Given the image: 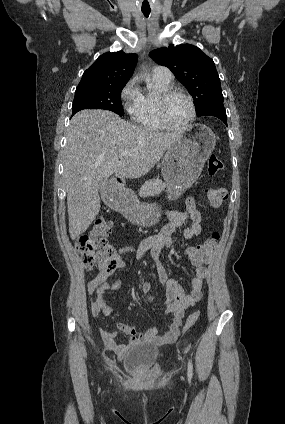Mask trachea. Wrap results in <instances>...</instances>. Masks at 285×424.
Here are the masks:
<instances>
[{
	"mask_svg": "<svg viewBox=\"0 0 285 424\" xmlns=\"http://www.w3.org/2000/svg\"><path fill=\"white\" fill-rule=\"evenodd\" d=\"M145 17H148L150 14V10L149 11H142Z\"/></svg>",
	"mask_w": 285,
	"mask_h": 424,
	"instance_id": "3493384b",
	"label": "trachea"
}]
</instances>
